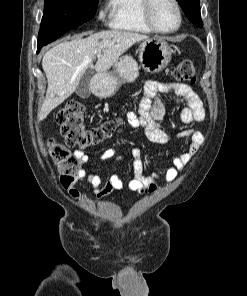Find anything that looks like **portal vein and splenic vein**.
I'll list each match as a JSON object with an SVG mask.
<instances>
[{
  "mask_svg": "<svg viewBox=\"0 0 247 296\" xmlns=\"http://www.w3.org/2000/svg\"><path fill=\"white\" fill-rule=\"evenodd\" d=\"M97 57H101V54H98Z\"/></svg>",
  "mask_w": 247,
  "mask_h": 296,
  "instance_id": "obj_1",
  "label": "portal vein and splenic vein"
}]
</instances>
